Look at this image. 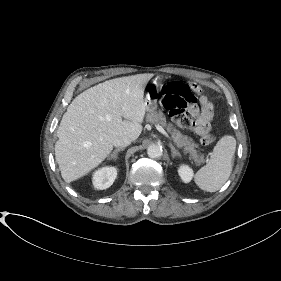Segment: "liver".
I'll return each mask as SVG.
<instances>
[{"label": "liver", "mask_w": 281, "mask_h": 281, "mask_svg": "<svg viewBox=\"0 0 281 281\" xmlns=\"http://www.w3.org/2000/svg\"><path fill=\"white\" fill-rule=\"evenodd\" d=\"M146 74L115 78L79 94L68 106L57 130L55 159L70 183L89 173L113 149V141H135L145 116Z\"/></svg>", "instance_id": "1"}]
</instances>
